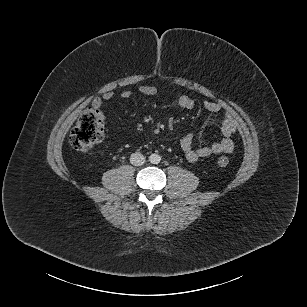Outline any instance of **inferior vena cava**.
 I'll return each mask as SVG.
<instances>
[{"mask_svg":"<svg viewBox=\"0 0 307 307\" xmlns=\"http://www.w3.org/2000/svg\"><path fill=\"white\" fill-rule=\"evenodd\" d=\"M130 162L134 166H141L145 163V157L140 152H135L130 156Z\"/></svg>","mask_w":307,"mask_h":307,"instance_id":"1","label":"inferior vena cava"}]
</instances>
